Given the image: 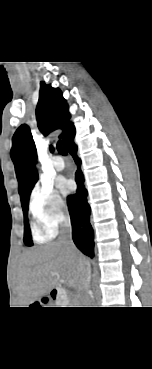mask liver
<instances>
[{"instance_id": "obj_1", "label": "liver", "mask_w": 152, "mask_h": 369, "mask_svg": "<svg viewBox=\"0 0 152 369\" xmlns=\"http://www.w3.org/2000/svg\"><path fill=\"white\" fill-rule=\"evenodd\" d=\"M88 259L79 251L70 253L61 242H53L23 254L18 276L17 290L23 305L48 295L60 280L70 286H81V266Z\"/></svg>"}]
</instances>
